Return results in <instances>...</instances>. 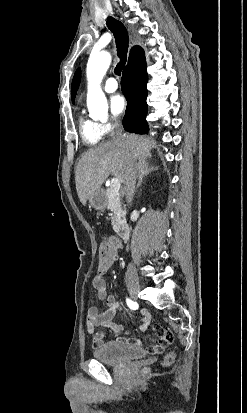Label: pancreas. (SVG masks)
Listing matches in <instances>:
<instances>
[{"mask_svg":"<svg viewBox=\"0 0 247 413\" xmlns=\"http://www.w3.org/2000/svg\"><path fill=\"white\" fill-rule=\"evenodd\" d=\"M105 192L108 198L107 209H109V211H112L113 213L112 215L113 231H115V233H118V231H120V227L123 221L121 217H125V211H123L122 204L120 202V196H122V190L121 192H114L112 188H106Z\"/></svg>","mask_w":247,"mask_h":413,"instance_id":"cf45deb5","label":"pancreas"}]
</instances>
